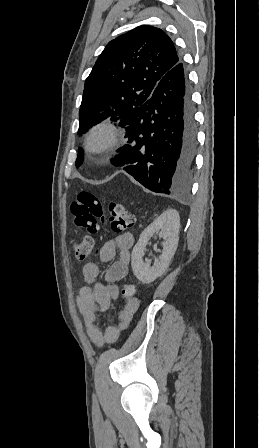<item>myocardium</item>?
Here are the masks:
<instances>
[{
	"instance_id": "obj_1",
	"label": "myocardium",
	"mask_w": 259,
	"mask_h": 448,
	"mask_svg": "<svg viewBox=\"0 0 259 448\" xmlns=\"http://www.w3.org/2000/svg\"><path fill=\"white\" fill-rule=\"evenodd\" d=\"M118 135L119 128L111 121L103 120L92 124L83 139L84 157L88 161L107 163Z\"/></svg>"
}]
</instances>
